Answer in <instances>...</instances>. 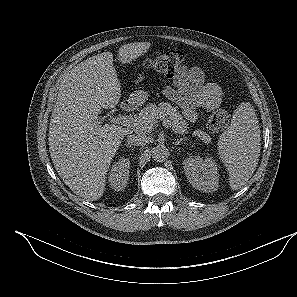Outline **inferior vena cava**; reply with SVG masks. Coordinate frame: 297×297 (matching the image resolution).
Wrapping results in <instances>:
<instances>
[{"label": "inferior vena cava", "mask_w": 297, "mask_h": 297, "mask_svg": "<svg viewBox=\"0 0 297 297\" xmlns=\"http://www.w3.org/2000/svg\"><path fill=\"white\" fill-rule=\"evenodd\" d=\"M148 141L149 138L143 134H130L127 136V143L133 146H144Z\"/></svg>", "instance_id": "inferior-vena-cava-1"}]
</instances>
